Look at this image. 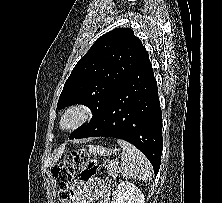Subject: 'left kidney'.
<instances>
[{
    "mask_svg": "<svg viewBox=\"0 0 222 203\" xmlns=\"http://www.w3.org/2000/svg\"><path fill=\"white\" fill-rule=\"evenodd\" d=\"M141 190L133 183L122 181L116 188L111 203H145Z\"/></svg>",
    "mask_w": 222,
    "mask_h": 203,
    "instance_id": "5707ae66",
    "label": "left kidney"
}]
</instances>
